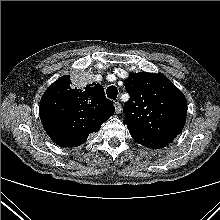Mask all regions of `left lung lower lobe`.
<instances>
[{
    "label": "left lung lower lobe",
    "instance_id": "0a47b994",
    "mask_svg": "<svg viewBox=\"0 0 220 220\" xmlns=\"http://www.w3.org/2000/svg\"><path fill=\"white\" fill-rule=\"evenodd\" d=\"M130 134L137 143L152 149L163 148L173 141V139L170 138L152 137L133 132H130Z\"/></svg>",
    "mask_w": 220,
    "mask_h": 220
}]
</instances>
